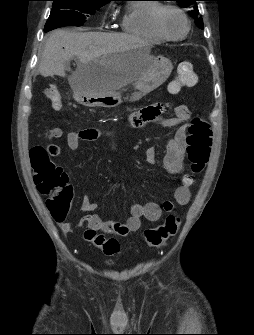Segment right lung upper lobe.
Wrapping results in <instances>:
<instances>
[{
	"label": "right lung upper lobe",
	"mask_w": 254,
	"mask_h": 335,
	"mask_svg": "<svg viewBox=\"0 0 254 335\" xmlns=\"http://www.w3.org/2000/svg\"><path fill=\"white\" fill-rule=\"evenodd\" d=\"M100 1H106V2H109V1H112V0H100Z\"/></svg>",
	"instance_id": "obj_1"
}]
</instances>
